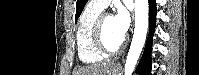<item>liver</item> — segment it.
<instances>
[{
	"instance_id": "6515ba94",
	"label": "liver",
	"mask_w": 199,
	"mask_h": 75,
	"mask_svg": "<svg viewBox=\"0 0 199 75\" xmlns=\"http://www.w3.org/2000/svg\"><path fill=\"white\" fill-rule=\"evenodd\" d=\"M110 64H94L78 68L74 75H110Z\"/></svg>"
}]
</instances>
